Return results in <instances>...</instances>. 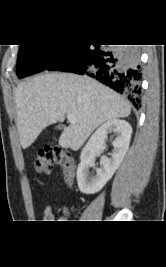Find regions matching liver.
<instances>
[{
  "instance_id": "obj_1",
  "label": "liver",
  "mask_w": 166,
  "mask_h": 267,
  "mask_svg": "<svg viewBox=\"0 0 166 267\" xmlns=\"http://www.w3.org/2000/svg\"><path fill=\"white\" fill-rule=\"evenodd\" d=\"M20 144L28 148L47 126L71 114L76 123L65 127L59 146L78 150L102 123L128 117L130 104L112 89L68 73L37 75L20 83L15 92Z\"/></svg>"
}]
</instances>
